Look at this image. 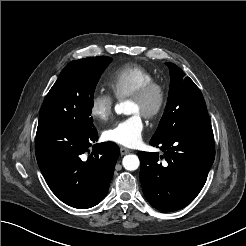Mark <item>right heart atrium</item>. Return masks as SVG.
I'll return each mask as SVG.
<instances>
[{
    "instance_id": "obj_1",
    "label": "right heart atrium",
    "mask_w": 246,
    "mask_h": 246,
    "mask_svg": "<svg viewBox=\"0 0 246 246\" xmlns=\"http://www.w3.org/2000/svg\"><path fill=\"white\" fill-rule=\"evenodd\" d=\"M90 115L93 119L105 122L109 120L114 110V98L106 92L95 93L90 100Z\"/></svg>"
}]
</instances>
